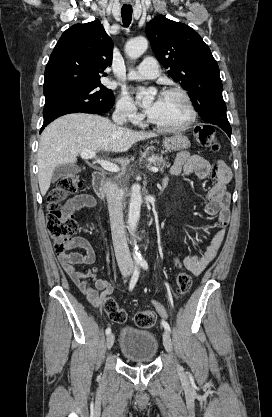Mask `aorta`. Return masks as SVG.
<instances>
[{"label": "aorta", "instance_id": "1", "mask_svg": "<svg viewBox=\"0 0 272 417\" xmlns=\"http://www.w3.org/2000/svg\"><path fill=\"white\" fill-rule=\"evenodd\" d=\"M147 48V39L144 37H137L126 43L125 52L131 59H137L147 50ZM139 90L144 95L143 104L145 105L151 103L157 93L155 88L145 89L144 87H140ZM140 189L141 188L138 184H134L131 189V199L128 212V228L132 235L136 230V226L140 218L142 204ZM133 258L135 261L142 259V256L137 247H135L133 250Z\"/></svg>", "mask_w": 272, "mask_h": 417}]
</instances>
